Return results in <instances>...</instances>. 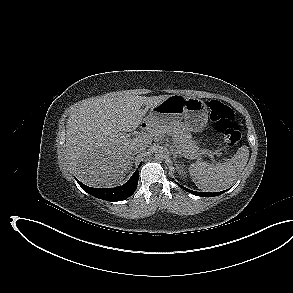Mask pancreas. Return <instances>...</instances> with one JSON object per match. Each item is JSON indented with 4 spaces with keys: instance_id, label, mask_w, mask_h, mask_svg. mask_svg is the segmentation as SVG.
I'll use <instances>...</instances> for the list:
<instances>
[{
    "instance_id": "pancreas-1",
    "label": "pancreas",
    "mask_w": 293,
    "mask_h": 293,
    "mask_svg": "<svg viewBox=\"0 0 293 293\" xmlns=\"http://www.w3.org/2000/svg\"><path fill=\"white\" fill-rule=\"evenodd\" d=\"M153 136H163L168 134L173 137L175 146L180 153L188 158L196 159L204 153L205 150L199 149L192 135L183 122L175 121L164 125H158L151 130Z\"/></svg>"
}]
</instances>
